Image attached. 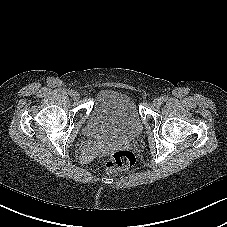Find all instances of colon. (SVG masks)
<instances>
[{
    "label": "colon",
    "mask_w": 227,
    "mask_h": 227,
    "mask_svg": "<svg viewBox=\"0 0 227 227\" xmlns=\"http://www.w3.org/2000/svg\"><path fill=\"white\" fill-rule=\"evenodd\" d=\"M136 162L135 155L128 150H120L106 159V169L109 173L117 170L126 169L133 166Z\"/></svg>",
    "instance_id": "obj_1"
}]
</instances>
